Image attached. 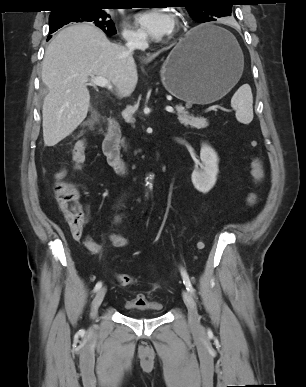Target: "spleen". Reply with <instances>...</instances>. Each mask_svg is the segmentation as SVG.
Instances as JSON below:
<instances>
[{
  "mask_svg": "<svg viewBox=\"0 0 306 387\" xmlns=\"http://www.w3.org/2000/svg\"><path fill=\"white\" fill-rule=\"evenodd\" d=\"M231 106L236 111V119L243 124L253 120V95L248 84L242 85L233 95Z\"/></svg>",
  "mask_w": 306,
  "mask_h": 387,
  "instance_id": "obj_1",
  "label": "spleen"
}]
</instances>
